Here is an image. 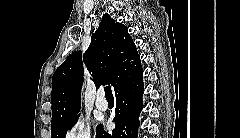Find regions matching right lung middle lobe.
<instances>
[{
    "mask_svg": "<svg viewBox=\"0 0 240 138\" xmlns=\"http://www.w3.org/2000/svg\"><path fill=\"white\" fill-rule=\"evenodd\" d=\"M79 115L76 117L59 124H55L51 126V138H65L67 130L73 127L78 120ZM99 126L97 127V129Z\"/></svg>",
    "mask_w": 240,
    "mask_h": 138,
    "instance_id": "right-lung-middle-lobe-1",
    "label": "right lung middle lobe"
}]
</instances>
